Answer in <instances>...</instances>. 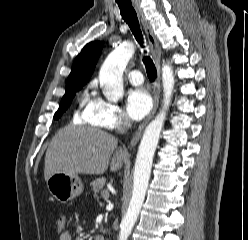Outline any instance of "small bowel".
Wrapping results in <instances>:
<instances>
[{
    "label": "small bowel",
    "mask_w": 248,
    "mask_h": 240,
    "mask_svg": "<svg viewBox=\"0 0 248 240\" xmlns=\"http://www.w3.org/2000/svg\"><path fill=\"white\" fill-rule=\"evenodd\" d=\"M59 240H73L69 231H65L59 235Z\"/></svg>",
    "instance_id": "small-bowel-1"
}]
</instances>
